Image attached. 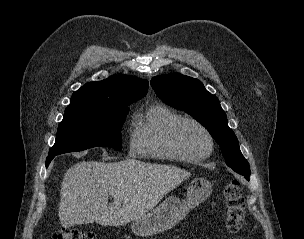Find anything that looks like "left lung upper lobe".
I'll use <instances>...</instances> for the list:
<instances>
[{"label":"left lung upper lobe","instance_id":"left-lung-upper-lobe-1","mask_svg":"<svg viewBox=\"0 0 304 239\" xmlns=\"http://www.w3.org/2000/svg\"><path fill=\"white\" fill-rule=\"evenodd\" d=\"M151 85L165 103L190 114L206 127L219 144L226 164L249 179V164L215 95L209 93L199 80L179 73L155 76Z\"/></svg>","mask_w":304,"mask_h":239}]
</instances>
